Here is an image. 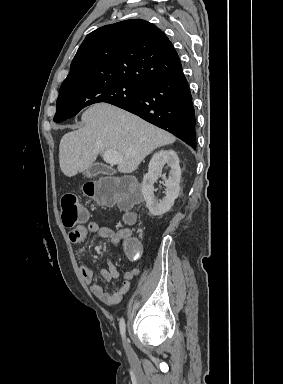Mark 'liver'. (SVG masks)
Listing matches in <instances>:
<instances>
[{"mask_svg":"<svg viewBox=\"0 0 283 384\" xmlns=\"http://www.w3.org/2000/svg\"><path fill=\"white\" fill-rule=\"evenodd\" d=\"M81 120L84 128L65 134L59 146L60 168L68 178L91 168L105 150L122 154L118 172L132 174L153 150L176 140L169 132L111 104H93Z\"/></svg>","mask_w":283,"mask_h":384,"instance_id":"1","label":"liver"}]
</instances>
